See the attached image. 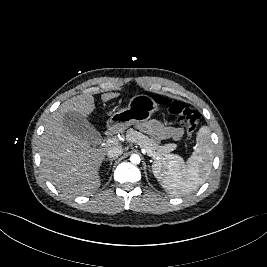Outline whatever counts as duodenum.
Here are the masks:
<instances>
[{
    "instance_id": "1",
    "label": "duodenum",
    "mask_w": 267,
    "mask_h": 267,
    "mask_svg": "<svg viewBox=\"0 0 267 267\" xmlns=\"http://www.w3.org/2000/svg\"><path fill=\"white\" fill-rule=\"evenodd\" d=\"M111 132H112V129L109 128V129L107 130V134H111Z\"/></svg>"
}]
</instances>
